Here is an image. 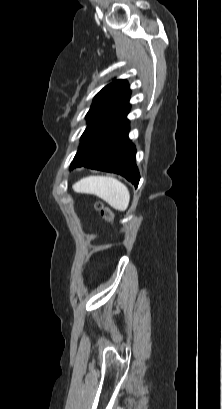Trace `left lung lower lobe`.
<instances>
[{
    "label": "left lung lower lobe",
    "instance_id": "obj_1",
    "mask_svg": "<svg viewBox=\"0 0 222 409\" xmlns=\"http://www.w3.org/2000/svg\"><path fill=\"white\" fill-rule=\"evenodd\" d=\"M129 111V109H128ZM128 111L101 130L73 160L70 170L87 167L124 176L135 186L140 175L135 161V146L128 139Z\"/></svg>",
    "mask_w": 222,
    "mask_h": 409
}]
</instances>
